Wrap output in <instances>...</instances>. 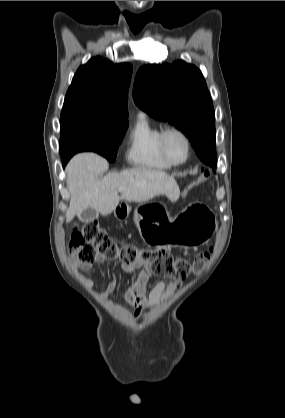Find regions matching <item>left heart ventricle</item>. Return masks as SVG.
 I'll use <instances>...</instances> for the list:
<instances>
[{
  "instance_id": "1",
  "label": "left heart ventricle",
  "mask_w": 285,
  "mask_h": 418,
  "mask_svg": "<svg viewBox=\"0 0 285 418\" xmlns=\"http://www.w3.org/2000/svg\"><path fill=\"white\" fill-rule=\"evenodd\" d=\"M166 150L170 158L174 161H181L186 154V145L184 140L176 133H171L165 140Z\"/></svg>"
}]
</instances>
